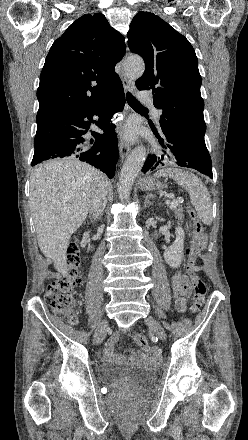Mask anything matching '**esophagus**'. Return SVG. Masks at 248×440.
I'll use <instances>...</instances> for the list:
<instances>
[{
  "label": "esophagus",
  "mask_w": 248,
  "mask_h": 440,
  "mask_svg": "<svg viewBox=\"0 0 248 440\" xmlns=\"http://www.w3.org/2000/svg\"><path fill=\"white\" fill-rule=\"evenodd\" d=\"M120 77L123 82V86H124L125 90L126 91H133L135 88L134 82L125 75L123 69L121 70ZM130 149L131 148L128 143H126L123 140L120 141L119 151H120V156H121L122 160L129 154Z\"/></svg>",
  "instance_id": "obj_1"
}]
</instances>
